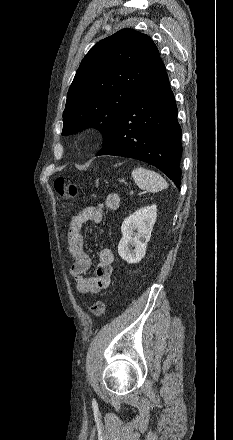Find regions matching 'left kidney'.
<instances>
[{"mask_svg":"<svg viewBox=\"0 0 233 440\" xmlns=\"http://www.w3.org/2000/svg\"><path fill=\"white\" fill-rule=\"evenodd\" d=\"M156 218L157 206L151 205L138 209L123 221L118 253L127 263H139L145 256Z\"/></svg>","mask_w":233,"mask_h":440,"instance_id":"1","label":"left kidney"}]
</instances>
